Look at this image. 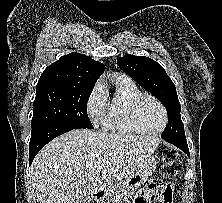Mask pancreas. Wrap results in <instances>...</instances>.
<instances>
[{
	"label": "pancreas",
	"instance_id": "1",
	"mask_svg": "<svg viewBox=\"0 0 222 203\" xmlns=\"http://www.w3.org/2000/svg\"><path fill=\"white\" fill-rule=\"evenodd\" d=\"M112 196H113V198L120 197V195H119V191H118V190L113 191V192H112Z\"/></svg>",
	"mask_w": 222,
	"mask_h": 203
}]
</instances>
